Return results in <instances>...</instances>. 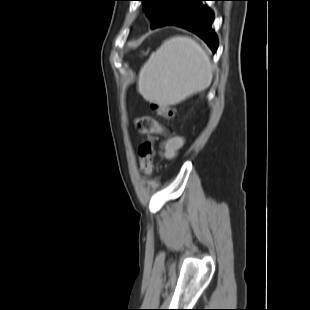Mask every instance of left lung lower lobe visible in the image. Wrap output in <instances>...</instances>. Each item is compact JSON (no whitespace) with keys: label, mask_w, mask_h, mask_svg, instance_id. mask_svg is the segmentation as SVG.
I'll use <instances>...</instances> for the list:
<instances>
[{"label":"left lung lower lobe","mask_w":310,"mask_h":310,"mask_svg":"<svg viewBox=\"0 0 310 310\" xmlns=\"http://www.w3.org/2000/svg\"><path fill=\"white\" fill-rule=\"evenodd\" d=\"M207 0H188L184 8L168 25L187 29L201 37L215 53L217 38L212 29L213 13L203 5Z\"/></svg>","instance_id":"obj_1"}]
</instances>
